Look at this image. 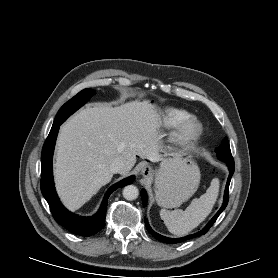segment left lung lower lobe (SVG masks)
<instances>
[{
    "label": "left lung lower lobe",
    "mask_w": 278,
    "mask_h": 278,
    "mask_svg": "<svg viewBox=\"0 0 278 278\" xmlns=\"http://www.w3.org/2000/svg\"><path fill=\"white\" fill-rule=\"evenodd\" d=\"M226 164L229 168L230 173H229V177H228V180H227L226 189H225V193H224L223 205L221 206L220 210L216 213V215L209 221V223L201 231H199L195 234H192V235L185 236L183 238L172 239V238H169V237L162 236V235L156 233L155 231H153L152 228L149 226L147 219L144 218L147 230L156 239H158L159 241L164 242V243H180L182 241H186V240H189L191 238L198 237V236H201V235L205 234L209 230V228L213 225V223L216 221V219L221 214V212L226 208L227 203H228V188H229L231 177L234 173V163H226ZM141 197H142L143 206H145L146 203H147V194H146L145 190L141 191Z\"/></svg>",
    "instance_id": "left-lung-lower-lobe-1"
}]
</instances>
